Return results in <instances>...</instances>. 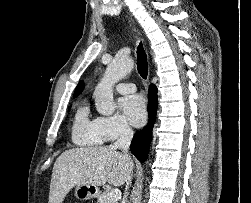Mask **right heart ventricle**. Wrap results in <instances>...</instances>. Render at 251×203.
<instances>
[{
    "label": "right heart ventricle",
    "mask_w": 251,
    "mask_h": 203,
    "mask_svg": "<svg viewBox=\"0 0 251 203\" xmlns=\"http://www.w3.org/2000/svg\"><path fill=\"white\" fill-rule=\"evenodd\" d=\"M71 138L78 146H99L104 140L96 128L95 120L89 117L87 105L78 108L71 130Z\"/></svg>",
    "instance_id": "1"
}]
</instances>
